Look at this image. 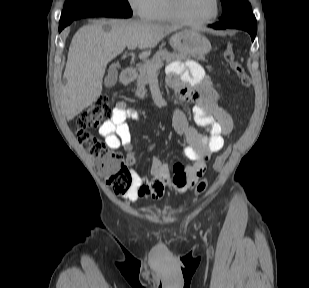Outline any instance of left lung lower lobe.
<instances>
[{
	"mask_svg": "<svg viewBox=\"0 0 309 288\" xmlns=\"http://www.w3.org/2000/svg\"><path fill=\"white\" fill-rule=\"evenodd\" d=\"M215 29L238 28L247 31L254 41L257 33V22L253 13L243 15L228 22H219L211 25Z\"/></svg>",
	"mask_w": 309,
	"mask_h": 288,
	"instance_id": "1",
	"label": "left lung lower lobe"
}]
</instances>
